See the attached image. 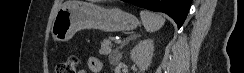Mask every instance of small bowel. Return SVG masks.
<instances>
[{"label": "small bowel", "mask_w": 244, "mask_h": 73, "mask_svg": "<svg viewBox=\"0 0 244 73\" xmlns=\"http://www.w3.org/2000/svg\"><path fill=\"white\" fill-rule=\"evenodd\" d=\"M88 70L90 73H100L102 71V62L95 57H91L87 62ZM79 73H87L85 70H81Z\"/></svg>", "instance_id": "1"}]
</instances>
